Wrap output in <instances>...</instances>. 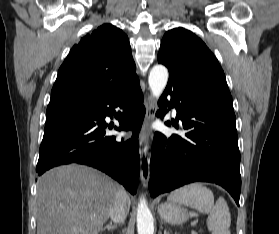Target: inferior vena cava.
Returning a JSON list of instances; mask_svg holds the SVG:
<instances>
[{"label": "inferior vena cava", "instance_id": "602c4592", "mask_svg": "<svg viewBox=\"0 0 279 234\" xmlns=\"http://www.w3.org/2000/svg\"><path fill=\"white\" fill-rule=\"evenodd\" d=\"M130 206V199L126 191L119 188L116 192L113 208L111 211V220L116 223H122L126 219Z\"/></svg>", "mask_w": 279, "mask_h": 234}]
</instances>
